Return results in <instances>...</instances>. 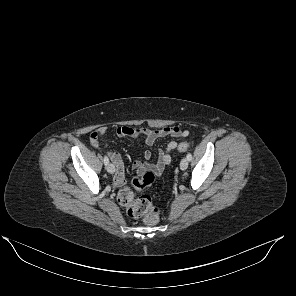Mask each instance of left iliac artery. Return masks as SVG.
Segmentation results:
<instances>
[{"instance_id": "left-iliac-artery-1", "label": "left iliac artery", "mask_w": 296, "mask_h": 296, "mask_svg": "<svg viewBox=\"0 0 296 296\" xmlns=\"http://www.w3.org/2000/svg\"><path fill=\"white\" fill-rule=\"evenodd\" d=\"M187 159H188V161H191L192 160V154L191 153H188L187 154Z\"/></svg>"}]
</instances>
